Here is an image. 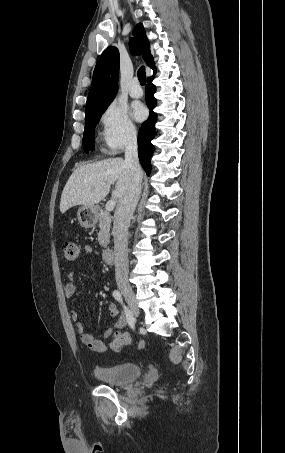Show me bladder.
<instances>
[{
	"label": "bladder",
	"mask_w": 285,
	"mask_h": 453,
	"mask_svg": "<svg viewBox=\"0 0 285 453\" xmlns=\"http://www.w3.org/2000/svg\"><path fill=\"white\" fill-rule=\"evenodd\" d=\"M94 376L112 386H122L137 380L141 374V367L136 363H123L112 366L95 365L93 367Z\"/></svg>",
	"instance_id": "obj_1"
}]
</instances>
